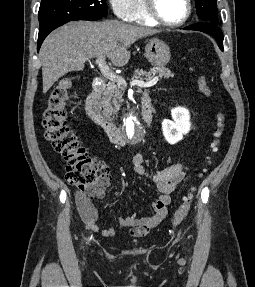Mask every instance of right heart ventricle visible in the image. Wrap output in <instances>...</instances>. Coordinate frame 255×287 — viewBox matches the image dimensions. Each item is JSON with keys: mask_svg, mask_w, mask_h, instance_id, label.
I'll use <instances>...</instances> for the list:
<instances>
[{"mask_svg": "<svg viewBox=\"0 0 255 287\" xmlns=\"http://www.w3.org/2000/svg\"><path fill=\"white\" fill-rule=\"evenodd\" d=\"M114 33V32H112ZM125 33H144V32H125ZM111 39H116V38H111ZM130 39H156V38H130ZM155 48V47H153ZM157 48H168V47H157Z\"/></svg>", "mask_w": 255, "mask_h": 287, "instance_id": "e07e8e85", "label": "right heart ventricle"}]
</instances>
